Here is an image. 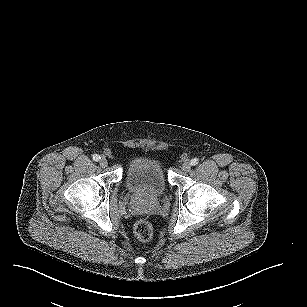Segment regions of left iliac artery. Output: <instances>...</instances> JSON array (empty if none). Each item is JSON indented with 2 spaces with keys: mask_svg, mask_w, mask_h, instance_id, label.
Returning <instances> with one entry per match:
<instances>
[{
  "mask_svg": "<svg viewBox=\"0 0 307 307\" xmlns=\"http://www.w3.org/2000/svg\"><path fill=\"white\" fill-rule=\"evenodd\" d=\"M198 162H199V160H198L197 158H194V159H192V160L190 161V164H191L192 166H195V165L198 164Z\"/></svg>",
  "mask_w": 307,
  "mask_h": 307,
  "instance_id": "44dca946",
  "label": "left iliac artery"
}]
</instances>
